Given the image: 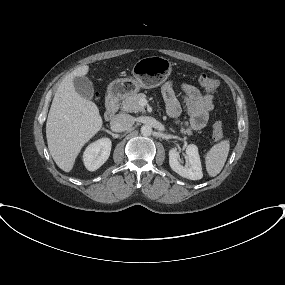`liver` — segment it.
Listing matches in <instances>:
<instances>
[{
	"label": "liver",
	"mask_w": 285,
	"mask_h": 285,
	"mask_svg": "<svg viewBox=\"0 0 285 285\" xmlns=\"http://www.w3.org/2000/svg\"><path fill=\"white\" fill-rule=\"evenodd\" d=\"M89 66L77 67L57 88L46 122L49 152L57 166L70 172L81 148L101 129L103 121L95 103L79 95L73 84Z\"/></svg>",
	"instance_id": "obj_1"
}]
</instances>
